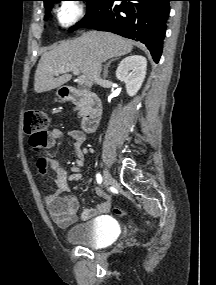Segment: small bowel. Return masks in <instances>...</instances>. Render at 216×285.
Segmentation results:
<instances>
[{
	"mask_svg": "<svg viewBox=\"0 0 216 285\" xmlns=\"http://www.w3.org/2000/svg\"><path fill=\"white\" fill-rule=\"evenodd\" d=\"M73 140L74 154V174L69 177L59 166L58 162L51 158H40L37 162V169L40 174L47 173L51 167L56 174V190L44 197V204L48 210L51 219L60 227H68L74 223L78 216V200L70 194L69 182L81 179L79 169L83 165L85 153L82 149L86 140V135L79 129H72L68 132ZM49 140L45 148H53L56 143L64 136L62 129L55 128L49 134ZM110 209V201L105 200L93 208H88L80 213L81 220H88L94 216L106 213Z\"/></svg>",
	"mask_w": 216,
	"mask_h": 285,
	"instance_id": "small-bowel-1",
	"label": "small bowel"
}]
</instances>
